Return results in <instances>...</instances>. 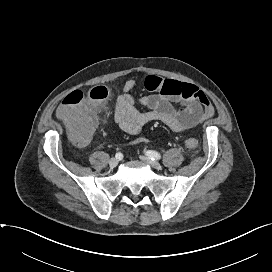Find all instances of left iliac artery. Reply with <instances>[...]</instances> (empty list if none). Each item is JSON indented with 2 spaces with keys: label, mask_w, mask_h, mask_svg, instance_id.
I'll use <instances>...</instances> for the list:
<instances>
[{
  "label": "left iliac artery",
  "mask_w": 272,
  "mask_h": 272,
  "mask_svg": "<svg viewBox=\"0 0 272 272\" xmlns=\"http://www.w3.org/2000/svg\"><path fill=\"white\" fill-rule=\"evenodd\" d=\"M146 155L149 156L152 160H158L161 158L160 153L153 151V150H148L146 151Z\"/></svg>",
  "instance_id": "1"
}]
</instances>
